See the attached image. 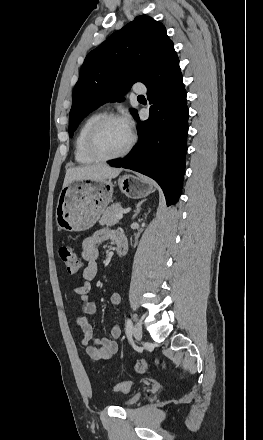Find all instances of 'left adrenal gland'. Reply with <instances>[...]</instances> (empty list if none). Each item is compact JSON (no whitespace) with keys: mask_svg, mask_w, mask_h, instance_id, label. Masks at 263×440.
Masks as SVG:
<instances>
[{"mask_svg":"<svg viewBox=\"0 0 263 440\" xmlns=\"http://www.w3.org/2000/svg\"><path fill=\"white\" fill-rule=\"evenodd\" d=\"M145 201H146V200H142V201H139V202L137 203V205H136V209L134 210V215H133L132 219H134V218L140 213V211H141V205H142Z\"/></svg>","mask_w":263,"mask_h":440,"instance_id":"a2214340","label":"left adrenal gland"}]
</instances>
